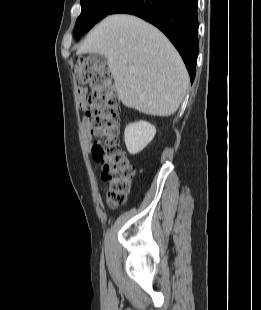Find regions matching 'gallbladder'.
Listing matches in <instances>:
<instances>
[{
    "instance_id": "gallbladder-1",
    "label": "gallbladder",
    "mask_w": 261,
    "mask_h": 310,
    "mask_svg": "<svg viewBox=\"0 0 261 310\" xmlns=\"http://www.w3.org/2000/svg\"><path fill=\"white\" fill-rule=\"evenodd\" d=\"M90 58L93 59L99 66H105L107 64V59L101 54H91Z\"/></svg>"
}]
</instances>
